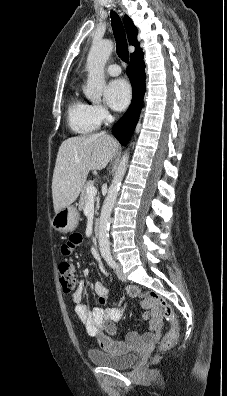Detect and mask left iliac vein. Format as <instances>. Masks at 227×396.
Instances as JSON below:
<instances>
[{"label":"left iliac vein","mask_w":227,"mask_h":396,"mask_svg":"<svg viewBox=\"0 0 227 396\" xmlns=\"http://www.w3.org/2000/svg\"><path fill=\"white\" fill-rule=\"evenodd\" d=\"M116 275L121 281H126V276L123 273L121 265L117 264Z\"/></svg>","instance_id":"1"}]
</instances>
